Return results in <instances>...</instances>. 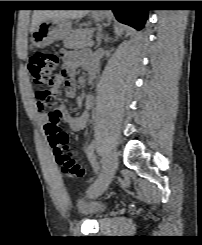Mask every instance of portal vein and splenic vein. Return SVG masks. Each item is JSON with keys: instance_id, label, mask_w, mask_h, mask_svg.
Listing matches in <instances>:
<instances>
[{"instance_id": "1", "label": "portal vein and splenic vein", "mask_w": 202, "mask_h": 245, "mask_svg": "<svg viewBox=\"0 0 202 245\" xmlns=\"http://www.w3.org/2000/svg\"><path fill=\"white\" fill-rule=\"evenodd\" d=\"M93 44H94V42H93V41H91V42L89 43V45H90V46H92Z\"/></svg>"}]
</instances>
